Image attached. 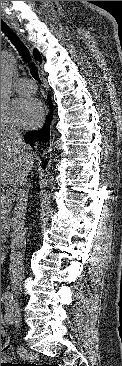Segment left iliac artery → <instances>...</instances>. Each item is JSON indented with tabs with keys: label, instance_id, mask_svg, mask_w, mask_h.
I'll list each match as a JSON object with an SVG mask.
<instances>
[{
	"label": "left iliac artery",
	"instance_id": "44dca946",
	"mask_svg": "<svg viewBox=\"0 0 122 366\" xmlns=\"http://www.w3.org/2000/svg\"><path fill=\"white\" fill-rule=\"evenodd\" d=\"M6 304V314H5V320L7 323H13V311H14V305L12 302H7Z\"/></svg>",
	"mask_w": 122,
	"mask_h": 366
}]
</instances>
